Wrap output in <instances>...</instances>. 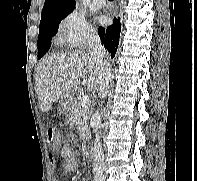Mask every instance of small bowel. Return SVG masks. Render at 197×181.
Here are the masks:
<instances>
[{
    "label": "small bowel",
    "instance_id": "c3829d8e",
    "mask_svg": "<svg viewBox=\"0 0 197 181\" xmlns=\"http://www.w3.org/2000/svg\"><path fill=\"white\" fill-rule=\"evenodd\" d=\"M56 155H60L62 158V170L65 174H72L77 169V158L69 145H64L61 150L51 151L49 162L52 168H55L57 165Z\"/></svg>",
    "mask_w": 197,
    "mask_h": 181
}]
</instances>
